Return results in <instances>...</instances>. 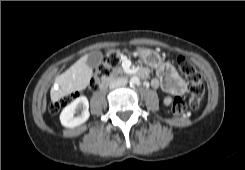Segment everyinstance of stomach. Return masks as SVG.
I'll return each mask as SVG.
<instances>
[{"label": "stomach", "mask_w": 245, "mask_h": 170, "mask_svg": "<svg viewBox=\"0 0 245 170\" xmlns=\"http://www.w3.org/2000/svg\"><path fill=\"white\" fill-rule=\"evenodd\" d=\"M138 56L143 63L150 67L157 68L162 65L161 58L158 53L148 48H139Z\"/></svg>", "instance_id": "obj_1"}]
</instances>
